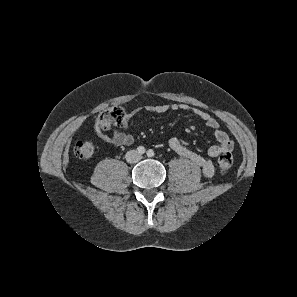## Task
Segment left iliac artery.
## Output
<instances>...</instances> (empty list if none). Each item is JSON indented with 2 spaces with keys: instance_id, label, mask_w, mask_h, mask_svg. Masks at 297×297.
Listing matches in <instances>:
<instances>
[{
  "instance_id": "obj_1",
  "label": "left iliac artery",
  "mask_w": 297,
  "mask_h": 297,
  "mask_svg": "<svg viewBox=\"0 0 297 297\" xmlns=\"http://www.w3.org/2000/svg\"><path fill=\"white\" fill-rule=\"evenodd\" d=\"M154 154H155L154 151L151 150V149L147 151V156H148V157H153Z\"/></svg>"
}]
</instances>
